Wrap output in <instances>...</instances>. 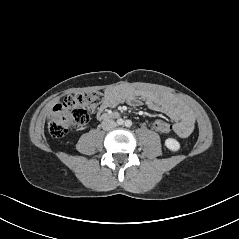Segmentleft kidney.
Segmentation results:
<instances>
[{"label": "left kidney", "mask_w": 239, "mask_h": 239, "mask_svg": "<svg viewBox=\"0 0 239 239\" xmlns=\"http://www.w3.org/2000/svg\"><path fill=\"white\" fill-rule=\"evenodd\" d=\"M165 146L171 151H178L180 149V144L176 139L168 138L165 140Z\"/></svg>", "instance_id": "obj_1"}]
</instances>
